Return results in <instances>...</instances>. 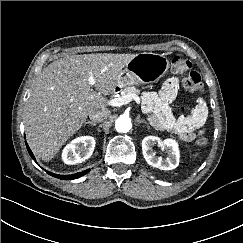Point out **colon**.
I'll return each instance as SVG.
<instances>
[{
  "instance_id": "colon-1",
  "label": "colon",
  "mask_w": 243,
  "mask_h": 243,
  "mask_svg": "<svg viewBox=\"0 0 243 243\" xmlns=\"http://www.w3.org/2000/svg\"><path fill=\"white\" fill-rule=\"evenodd\" d=\"M171 68L175 74H185L183 83L184 86L193 92H201L203 90V82L198 72L191 70V63L188 59L181 56L173 57ZM182 112H187L186 107L181 108ZM194 139L198 145H206L208 138L199 130L194 132Z\"/></svg>"
}]
</instances>
